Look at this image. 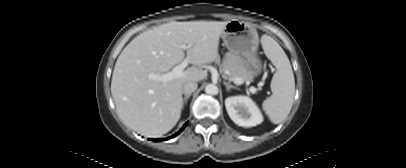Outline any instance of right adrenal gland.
Returning a JSON list of instances; mask_svg holds the SVG:
<instances>
[{
    "label": "right adrenal gland",
    "instance_id": "1",
    "mask_svg": "<svg viewBox=\"0 0 406 168\" xmlns=\"http://www.w3.org/2000/svg\"><path fill=\"white\" fill-rule=\"evenodd\" d=\"M190 96H191V95H186V96L183 98V101H182V104H183V105L187 103V101H188V99L190 98Z\"/></svg>",
    "mask_w": 406,
    "mask_h": 168
}]
</instances>
